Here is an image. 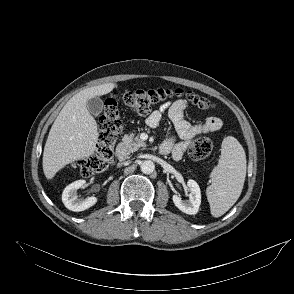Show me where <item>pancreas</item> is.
<instances>
[{
    "label": "pancreas",
    "mask_w": 294,
    "mask_h": 294,
    "mask_svg": "<svg viewBox=\"0 0 294 294\" xmlns=\"http://www.w3.org/2000/svg\"><path fill=\"white\" fill-rule=\"evenodd\" d=\"M124 144L126 150L131 153L135 152L139 149H144L146 147V143L139 138V136H135L134 133L125 136Z\"/></svg>",
    "instance_id": "1"
}]
</instances>
